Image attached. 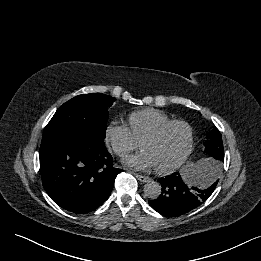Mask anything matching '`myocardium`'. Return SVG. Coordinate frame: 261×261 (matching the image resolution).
Wrapping results in <instances>:
<instances>
[{"mask_svg":"<svg viewBox=\"0 0 261 261\" xmlns=\"http://www.w3.org/2000/svg\"><path fill=\"white\" fill-rule=\"evenodd\" d=\"M174 125H183L184 127H186V129L188 131L187 148L184 151L183 155L172 165L164 167V168L155 167V171L159 174H170V173L176 171L178 168H180L188 160V158L190 157V155L193 151L194 141H195V134H194V129H193L192 125L189 122H187L185 120H181V119L170 120V121L162 124L161 126H159L155 131H153L152 133H150L149 135H147L146 137H144L141 140V145L147 141L158 140L170 127H172Z\"/></svg>","mask_w":261,"mask_h":261,"instance_id":"myocardium-1","label":"myocardium"}]
</instances>
